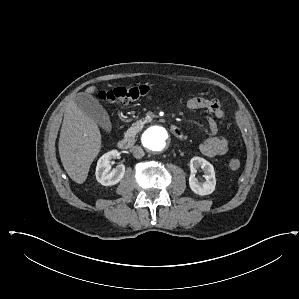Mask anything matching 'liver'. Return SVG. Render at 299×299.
I'll list each match as a JSON object with an SVG mask.
<instances>
[{"label":"liver","mask_w":299,"mask_h":299,"mask_svg":"<svg viewBox=\"0 0 299 299\" xmlns=\"http://www.w3.org/2000/svg\"><path fill=\"white\" fill-rule=\"evenodd\" d=\"M95 86L86 93H93ZM97 123L71 101L64 114L59 138V154L69 177L78 184L85 182L93 160L101 149Z\"/></svg>","instance_id":"1"}]
</instances>
